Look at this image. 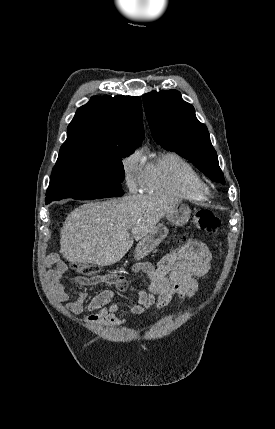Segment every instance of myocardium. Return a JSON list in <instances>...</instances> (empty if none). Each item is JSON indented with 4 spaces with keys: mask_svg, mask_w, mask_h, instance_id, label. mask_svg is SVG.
I'll use <instances>...</instances> for the list:
<instances>
[{
    "mask_svg": "<svg viewBox=\"0 0 275 429\" xmlns=\"http://www.w3.org/2000/svg\"><path fill=\"white\" fill-rule=\"evenodd\" d=\"M204 194H205V196L210 194V191H209L207 186L205 187Z\"/></svg>",
    "mask_w": 275,
    "mask_h": 429,
    "instance_id": "obj_1",
    "label": "myocardium"
}]
</instances>
